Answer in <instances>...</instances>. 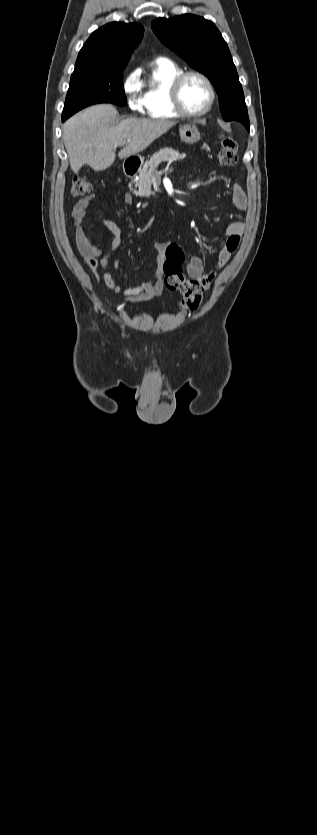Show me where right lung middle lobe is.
<instances>
[{
	"mask_svg": "<svg viewBox=\"0 0 317 835\" xmlns=\"http://www.w3.org/2000/svg\"><path fill=\"white\" fill-rule=\"evenodd\" d=\"M123 70H74L66 96L62 118L97 103L127 104L123 88Z\"/></svg>",
	"mask_w": 317,
	"mask_h": 835,
	"instance_id": "1",
	"label": "right lung middle lobe"
}]
</instances>
